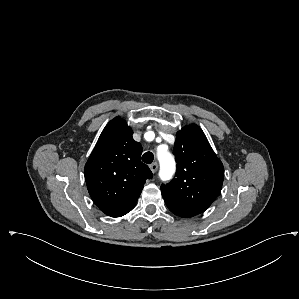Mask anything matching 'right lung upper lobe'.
<instances>
[{
    "instance_id": "cb5924a9",
    "label": "right lung upper lobe",
    "mask_w": 299,
    "mask_h": 299,
    "mask_svg": "<svg viewBox=\"0 0 299 299\" xmlns=\"http://www.w3.org/2000/svg\"><path fill=\"white\" fill-rule=\"evenodd\" d=\"M127 123L115 117L102 131L85 165V181L94 203L110 217L131 211L146 179L149 167L140 161L142 146L134 141Z\"/></svg>"
}]
</instances>
